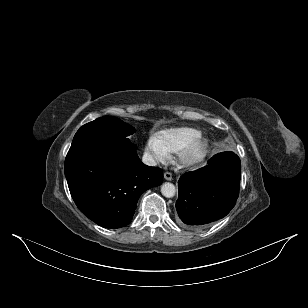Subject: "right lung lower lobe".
<instances>
[{
  "label": "right lung lower lobe",
  "instance_id": "98d812e1",
  "mask_svg": "<svg viewBox=\"0 0 308 308\" xmlns=\"http://www.w3.org/2000/svg\"><path fill=\"white\" fill-rule=\"evenodd\" d=\"M64 168L79 210L96 224L112 229L126 226L141 194L163 180L162 170L140 162L133 146L117 143L71 147Z\"/></svg>",
  "mask_w": 308,
  "mask_h": 308
}]
</instances>
